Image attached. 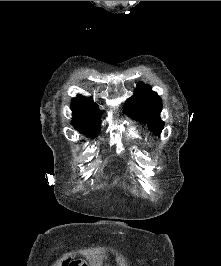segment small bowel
Segmentation results:
<instances>
[{"label":"small bowel","instance_id":"small-bowel-1","mask_svg":"<svg viewBox=\"0 0 221 266\" xmlns=\"http://www.w3.org/2000/svg\"><path fill=\"white\" fill-rule=\"evenodd\" d=\"M63 256L74 257V252L63 253ZM62 266H87L85 263L80 262V258H71L70 260H65Z\"/></svg>","mask_w":221,"mask_h":266}]
</instances>
